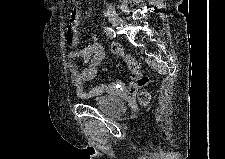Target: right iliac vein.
I'll list each match as a JSON object with an SVG mask.
<instances>
[{
    "instance_id": "obj_1",
    "label": "right iliac vein",
    "mask_w": 225,
    "mask_h": 159,
    "mask_svg": "<svg viewBox=\"0 0 225 159\" xmlns=\"http://www.w3.org/2000/svg\"><path fill=\"white\" fill-rule=\"evenodd\" d=\"M106 17H107L108 21H109L113 26H116V27H123V25H124L123 21H122L121 18L116 14V12L113 11L112 9L107 11Z\"/></svg>"
}]
</instances>
